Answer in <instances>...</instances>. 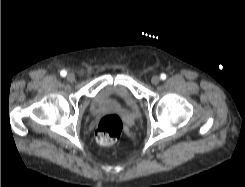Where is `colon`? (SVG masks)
Returning a JSON list of instances; mask_svg holds the SVG:
<instances>
[{"label":"colon","instance_id":"obj_1","mask_svg":"<svg viewBox=\"0 0 245 187\" xmlns=\"http://www.w3.org/2000/svg\"><path fill=\"white\" fill-rule=\"evenodd\" d=\"M121 119L115 114L101 116L95 126V138L98 144L107 146L115 143L122 133Z\"/></svg>","mask_w":245,"mask_h":187}]
</instances>
